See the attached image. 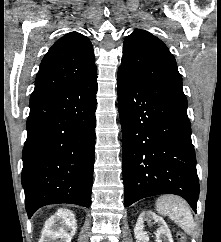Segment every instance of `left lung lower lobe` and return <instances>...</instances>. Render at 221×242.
Returning a JSON list of instances; mask_svg holds the SVG:
<instances>
[{"label":"left lung lower lobe","mask_w":221,"mask_h":242,"mask_svg":"<svg viewBox=\"0 0 221 242\" xmlns=\"http://www.w3.org/2000/svg\"><path fill=\"white\" fill-rule=\"evenodd\" d=\"M125 206L176 194L196 212L199 181L187 102L157 93L118 71Z\"/></svg>","instance_id":"left-lung-lower-lobe-1"}]
</instances>
